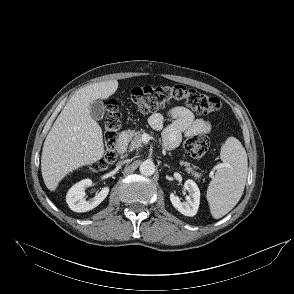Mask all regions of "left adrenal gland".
I'll return each mask as SVG.
<instances>
[{
    "label": "left adrenal gland",
    "instance_id": "1",
    "mask_svg": "<svg viewBox=\"0 0 294 294\" xmlns=\"http://www.w3.org/2000/svg\"><path fill=\"white\" fill-rule=\"evenodd\" d=\"M164 166H165V167H168V168H170V166H169V165H167V164H164Z\"/></svg>",
    "mask_w": 294,
    "mask_h": 294
}]
</instances>
